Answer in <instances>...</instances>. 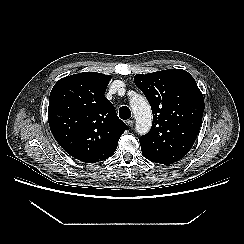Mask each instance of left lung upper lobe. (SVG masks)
Wrapping results in <instances>:
<instances>
[{
    "label": "left lung upper lobe",
    "mask_w": 244,
    "mask_h": 244,
    "mask_svg": "<svg viewBox=\"0 0 244 244\" xmlns=\"http://www.w3.org/2000/svg\"><path fill=\"white\" fill-rule=\"evenodd\" d=\"M153 113L148 134L139 138L142 154L150 161L173 164L192 148L199 133L204 98L185 70L169 69L134 77Z\"/></svg>",
    "instance_id": "left-lung-upper-lobe-1"
}]
</instances>
